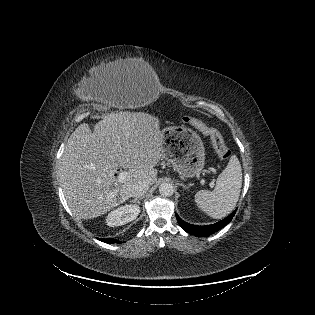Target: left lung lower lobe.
Returning a JSON list of instances; mask_svg holds the SVG:
<instances>
[{
	"label": "left lung lower lobe",
	"instance_id": "0a47b994",
	"mask_svg": "<svg viewBox=\"0 0 315 315\" xmlns=\"http://www.w3.org/2000/svg\"><path fill=\"white\" fill-rule=\"evenodd\" d=\"M236 210L231 213L228 217L225 219L211 225L207 226H198V225H192L189 224L185 221H183L177 214L176 218L177 221L179 222L180 226L189 234L195 235L197 237H204V236H209L218 230L222 229L224 226H226L234 217Z\"/></svg>",
	"mask_w": 315,
	"mask_h": 315
}]
</instances>
